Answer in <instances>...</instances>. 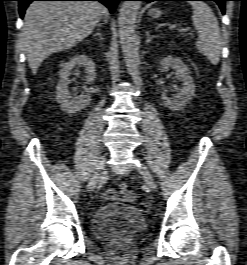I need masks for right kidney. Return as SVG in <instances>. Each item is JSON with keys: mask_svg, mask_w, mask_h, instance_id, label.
<instances>
[{"mask_svg": "<svg viewBox=\"0 0 247 265\" xmlns=\"http://www.w3.org/2000/svg\"><path fill=\"white\" fill-rule=\"evenodd\" d=\"M83 66L85 68V84L92 83L95 79V64L91 58L81 54L71 58L68 62L61 65L60 79L56 87V99L63 111L73 114L86 108L91 101L89 94L71 96L68 91L70 84L69 75L73 68Z\"/></svg>", "mask_w": 247, "mask_h": 265, "instance_id": "right-kidney-1", "label": "right kidney"}]
</instances>
